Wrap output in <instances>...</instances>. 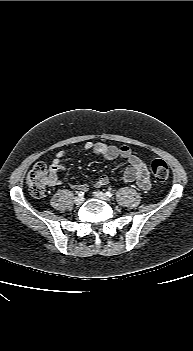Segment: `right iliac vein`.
<instances>
[{
  "instance_id": "1",
  "label": "right iliac vein",
  "mask_w": 193,
  "mask_h": 351,
  "mask_svg": "<svg viewBox=\"0 0 193 351\" xmlns=\"http://www.w3.org/2000/svg\"><path fill=\"white\" fill-rule=\"evenodd\" d=\"M84 202V197L83 196H77L74 198V203L76 205H81Z\"/></svg>"
}]
</instances>
